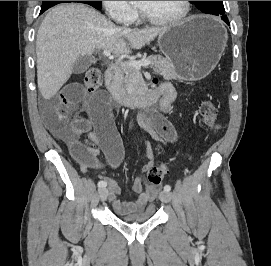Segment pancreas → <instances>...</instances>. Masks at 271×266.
I'll list each match as a JSON object with an SVG mask.
<instances>
[{
    "instance_id": "1",
    "label": "pancreas",
    "mask_w": 271,
    "mask_h": 266,
    "mask_svg": "<svg viewBox=\"0 0 271 266\" xmlns=\"http://www.w3.org/2000/svg\"><path fill=\"white\" fill-rule=\"evenodd\" d=\"M151 61L150 68H152L159 75L171 79L174 77V66L172 62L160 55L143 56L140 61ZM122 72L124 74L123 87L131 96L142 95L147 89L140 70L129 66L122 65Z\"/></svg>"
}]
</instances>
